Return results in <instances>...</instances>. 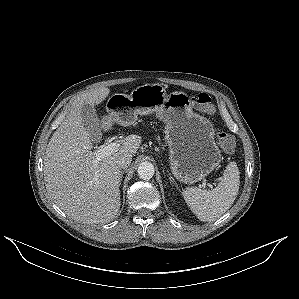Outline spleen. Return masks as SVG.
Listing matches in <instances>:
<instances>
[{"mask_svg":"<svg viewBox=\"0 0 299 299\" xmlns=\"http://www.w3.org/2000/svg\"><path fill=\"white\" fill-rule=\"evenodd\" d=\"M239 170L235 162H230L223 173L221 181L213 190L188 187L182 195L198 219L215 221L233 204L240 185Z\"/></svg>","mask_w":299,"mask_h":299,"instance_id":"obj_1","label":"spleen"}]
</instances>
